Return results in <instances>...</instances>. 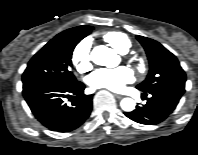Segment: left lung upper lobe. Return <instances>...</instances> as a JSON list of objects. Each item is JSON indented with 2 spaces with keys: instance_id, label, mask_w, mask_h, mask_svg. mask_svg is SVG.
Returning a JSON list of instances; mask_svg holds the SVG:
<instances>
[{
  "instance_id": "5c2ea615",
  "label": "left lung upper lobe",
  "mask_w": 198,
  "mask_h": 155,
  "mask_svg": "<svg viewBox=\"0 0 198 155\" xmlns=\"http://www.w3.org/2000/svg\"><path fill=\"white\" fill-rule=\"evenodd\" d=\"M146 51L150 71L147 78L137 85L144 92L152 91L163 86L185 88L186 75L177 58L155 40L137 36Z\"/></svg>"
}]
</instances>
